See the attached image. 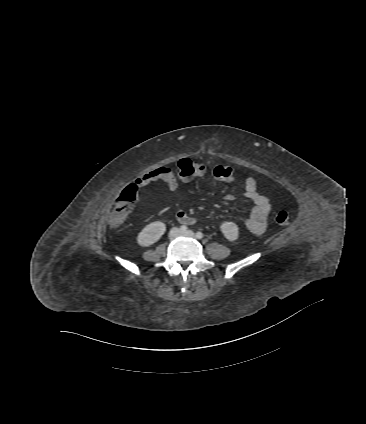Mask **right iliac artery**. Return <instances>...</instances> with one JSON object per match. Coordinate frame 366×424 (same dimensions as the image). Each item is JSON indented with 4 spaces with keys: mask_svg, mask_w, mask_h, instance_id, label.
Returning <instances> with one entry per match:
<instances>
[{
    "mask_svg": "<svg viewBox=\"0 0 366 424\" xmlns=\"http://www.w3.org/2000/svg\"><path fill=\"white\" fill-rule=\"evenodd\" d=\"M187 226H185V225H182V226H180V230L182 231V232H186L187 231Z\"/></svg>",
    "mask_w": 366,
    "mask_h": 424,
    "instance_id": "82829eb1",
    "label": "right iliac artery"
}]
</instances>
